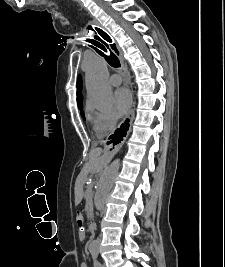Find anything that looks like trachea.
Returning <instances> with one entry per match:
<instances>
[{
    "mask_svg": "<svg viewBox=\"0 0 225 267\" xmlns=\"http://www.w3.org/2000/svg\"><path fill=\"white\" fill-rule=\"evenodd\" d=\"M88 28L92 29L91 26ZM96 30L104 40L111 42V38L103 30L99 28H96ZM89 42L91 43V47L95 49L99 55L103 56L110 66L114 68H118L120 66L118 57L109 49L107 43H105L98 35H95L94 39L89 40Z\"/></svg>",
    "mask_w": 225,
    "mask_h": 267,
    "instance_id": "1",
    "label": "trachea"
}]
</instances>
